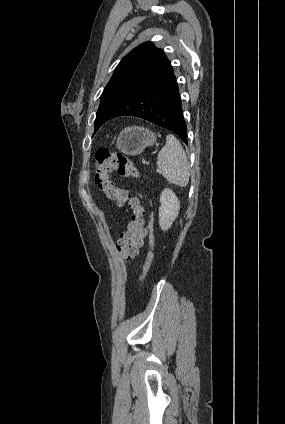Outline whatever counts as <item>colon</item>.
<instances>
[{"label": "colon", "mask_w": 285, "mask_h": 424, "mask_svg": "<svg viewBox=\"0 0 285 424\" xmlns=\"http://www.w3.org/2000/svg\"><path fill=\"white\" fill-rule=\"evenodd\" d=\"M114 171L121 176L141 180L140 171L130 159L120 153L110 152L105 148L98 149L94 162V181L98 190L107 199L115 201L119 206L126 205L132 210L131 220L116 243L117 250L125 257L132 258L143 245L144 238L148 241L149 250L141 276V281H143L151 268L154 257L155 238L153 223L150 218H146L140 199L131 191L120 188L115 184L111 178V173Z\"/></svg>", "instance_id": "colon-1"}]
</instances>
